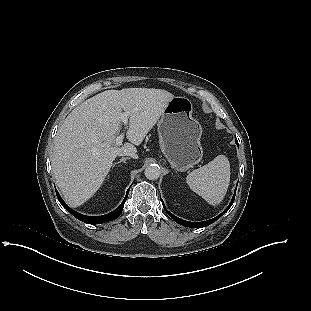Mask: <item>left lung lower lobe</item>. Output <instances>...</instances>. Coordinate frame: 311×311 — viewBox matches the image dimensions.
<instances>
[{
    "label": "left lung lower lobe",
    "mask_w": 311,
    "mask_h": 311,
    "mask_svg": "<svg viewBox=\"0 0 311 311\" xmlns=\"http://www.w3.org/2000/svg\"><path fill=\"white\" fill-rule=\"evenodd\" d=\"M234 197H235V194H234ZM234 197L232 198V201L230 202V204L228 205V207L220 214L218 215L217 217L213 218V219H210V220H207V221H203V222H189V221H185L183 219H180L176 216H174L173 214H171L169 211H167L165 209V206H164V203H163V200L161 199L162 201V204H163V207L164 209L166 210V212L168 213V215L177 223L183 225V226H186V227H191V228H201V227H205V226H208L210 224H212L213 222H215L217 219H219L224 213H226L229 208L232 206L233 202H234Z\"/></svg>",
    "instance_id": "1"
}]
</instances>
